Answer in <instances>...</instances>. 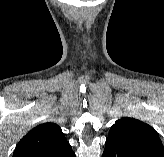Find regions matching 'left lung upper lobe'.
<instances>
[{
  "label": "left lung upper lobe",
  "instance_id": "1",
  "mask_svg": "<svg viewBox=\"0 0 164 157\" xmlns=\"http://www.w3.org/2000/svg\"><path fill=\"white\" fill-rule=\"evenodd\" d=\"M108 140L141 157H164L158 133L148 124L130 117L118 119L110 128Z\"/></svg>",
  "mask_w": 164,
  "mask_h": 157
}]
</instances>
